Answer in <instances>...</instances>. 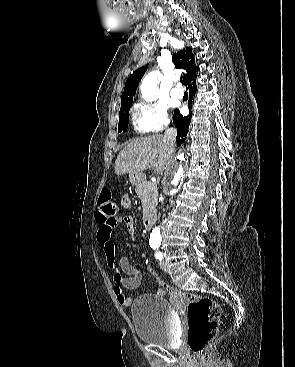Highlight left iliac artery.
Here are the masks:
<instances>
[{"mask_svg": "<svg viewBox=\"0 0 295 367\" xmlns=\"http://www.w3.org/2000/svg\"><path fill=\"white\" fill-rule=\"evenodd\" d=\"M155 251V258L158 260H162L163 259V254L158 250V247H153Z\"/></svg>", "mask_w": 295, "mask_h": 367, "instance_id": "44dca946", "label": "left iliac artery"}]
</instances>
